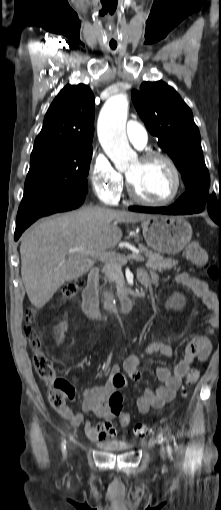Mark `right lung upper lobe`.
<instances>
[{"label": "right lung upper lobe", "instance_id": "right-lung-upper-lobe-1", "mask_svg": "<svg viewBox=\"0 0 221 510\" xmlns=\"http://www.w3.org/2000/svg\"><path fill=\"white\" fill-rule=\"evenodd\" d=\"M94 95L84 85H66L49 107L31 157L92 146Z\"/></svg>", "mask_w": 221, "mask_h": 510}]
</instances>
